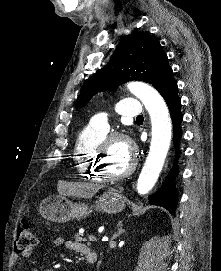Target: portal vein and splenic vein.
I'll list each match as a JSON object with an SVG mask.
<instances>
[{"mask_svg":"<svg viewBox=\"0 0 221 271\" xmlns=\"http://www.w3.org/2000/svg\"><path fill=\"white\" fill-rule=\"evenodd\" d=\"M89 242H98V237H96V234H89Z\"/></svg>","mask_w":221,"mask_h":271,"instance_id":"1","label":"portal vein and splenic vein"}]
</instances>
